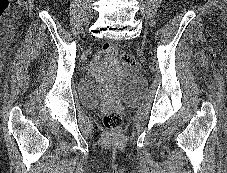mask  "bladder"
I'll return each mask as SVG.
<instances>
[{
  "label": "bladder",
  "mask_w": 227,
  "mask_h": 173,
  "mask_svg": "<svg viewBox=\"0 0 227 173\" xmlns=\"http://www.w3.org/2000/svg\"><path fill=\"white\" fill-rule=\"evenodd\" d=\"M144 93V81L133 74L112 81L84 77L78 85L80 101L87 107H94L107 94H112L127 104H136Z\"/></svg>",
  "instance_id": "bladder-1"
}]
</instances>
